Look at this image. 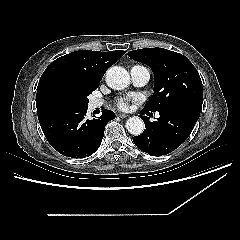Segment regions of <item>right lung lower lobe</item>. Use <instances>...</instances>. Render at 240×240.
I'll return each mask as SVG.
<instances>
[{
	"label": "right lung lower lobe",
	"mask_w": 240,
	"mask_h": 240,
	"mask_svg": "<svg viewBox=\"0 0 240 240\" xmlns=\"http://www.w3.org/2000/svg\"><path fill=\"white\" fill-rule=\"evenodd\" d=\"M87 108L64 107L39 120L50 145L60 154L83 158L92 155L100 146L106 124L115 118L103 110L98 118L86 119Z\"/></svg>",
	"instance_id": "obj_1"
}]
</instances>
